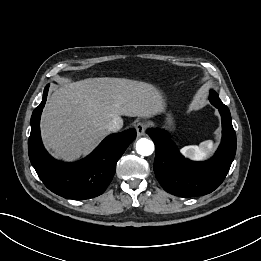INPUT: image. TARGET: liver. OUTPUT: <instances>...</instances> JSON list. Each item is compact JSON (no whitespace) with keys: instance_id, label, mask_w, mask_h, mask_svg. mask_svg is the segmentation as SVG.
<instances>
[{"instance_id":"1","label":"liver","mask_w":261,"mask_h":261,"mask_svg":"<svg viewBox=\"0 0 261 261\" xmlns=\"http://www.w3.org/2000/svg\"><path fill=\"white\" fill-rule=\"evenodd\" d=\"M165 100L153 85L124 78H87L60 86L41 117L43 142L56 158L75 161L108 134L116 117H153Z\"/></svg>"}]
</instances>
